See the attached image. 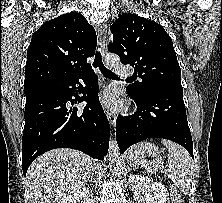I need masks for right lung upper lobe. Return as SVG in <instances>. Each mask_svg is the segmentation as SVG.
I'll use <instances>...</instances> for the list:
<instances>
[{
    "label": "right lung upper lobe",
    "instance_id": "cb5924a9",
    "mask_svg": "<svg viewBox=\"0 0 222 203\" xmlns=\"http://www.w3.org/2000/svg\"><path fill=\"white\" fill-rule=\"evenodd\" d=\"M97 36L84 16L63 14L44 23L32 36L25 66V93L91 71Z\"/></svg>",
    "mask_w": 222,
    "mask_h": 203
}]
</instances>
